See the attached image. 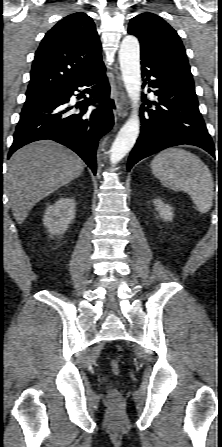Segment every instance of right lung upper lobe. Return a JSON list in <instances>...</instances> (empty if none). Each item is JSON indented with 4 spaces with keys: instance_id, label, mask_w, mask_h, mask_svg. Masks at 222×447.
Instances as JSON below:
<instances>
[{
    "instance_id": "cb5924a9",
    "label": "right lung upper lobe",
    "mask_w": 222,
    "mask_h": 447,
    "mask_svg": "<svg viewBox=\"0 0 222 447\" xmlns=\"http://www.w3.org/2000/svg\"><path fill=\"white\" fill-rule=\"evenodd\" d=\"M92 18L83 12L59 21L35 53L26 98L56 96L102 63Z\"/></svg>"
}]
</instances>
